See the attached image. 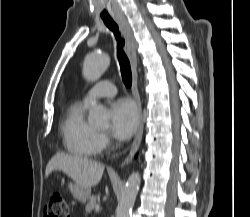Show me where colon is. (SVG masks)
Here are the masks:
<instances>
[{
    "mask_svg": "<svg viewBox=\"0 0 250 217\" xmlns=\"http://www.w3.org/2000/svg\"><path fill=\"white\" fill-rule=\"evenodd\" d=\"M43 217H70L68 204L62 193L53 192L49 195Z\"/></svg>",
    "mask_w": 250,
    "mask_h": 217,
    "instance_id": "1",
    "label": "colon"
}]
</instances>
